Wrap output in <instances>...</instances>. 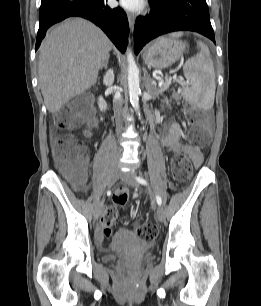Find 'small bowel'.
Returning a JSON list of instances; mask_svg holds the SVG:
<instances>
[{"mask_svg": "<svg viewBox=\"0 0 261 306\" xmlns=\"http://www.w3.org/2000/svg\"><path fill=\"white\" fill-rule=\"evenodd\" d=\"M182 135L181 127L177 123H171L163 133L161 142L162 145L171 152H186L191 157L195 166H201L204 160L203 152L193 146H189L180 142ZM86 164L87 159H84Z\"/></svg>", "mask_w": 261, "mask_h": 306, "instance_id": "1", "label": "small bowel"}]
</instances>
